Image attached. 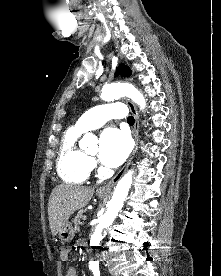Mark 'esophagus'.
Instances as JSON below:
<instances>
[{
  "instance_id": "34e87169",
  "label": "esophagus",
  "mask_w": 221,
  "mask_h": 276,
  "mask_svg": "<svg viewBox=\"0 0 221 276\" xmlns=\"http://www.w3.org/2000/svg\"><path fill=\"white\" fill-rule=\"evenodd\" d=\"M127 104H128L129 109H130V111L132 112V114L134 115V118H135V124H134V127H133V136H134V139H135V147H134L132 153L130 154L127 162L125 163L123 168L116 174V176L112 180H110L107 184L101 186L98 189V192L102 193V194L110 193L112 188L115 186V184L119 181V179L123 176V174L128 169V167L131 164L132 159H133V157H134V155H135V153L138 149V144H139V121H140L139 113H138V110H137L136 106L130 100H127Z\"/></svg>"
}]
</instances>
